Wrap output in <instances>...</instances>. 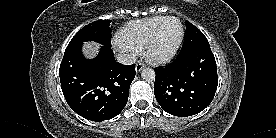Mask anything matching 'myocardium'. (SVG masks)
I'll use <instances>...</instances> for the list:
<instances>
[{
	"instance_id": "obj_1",
	"label": "myocardium",
	"mask_w": 276,
	"mask_h": 138,
	"mask_svg": "<svg viewBox=\"0 0 276 138\" xmlns=\"http://www.w3.org/2000/svg\"><path fill=\"white\" fill-rule=\"evenodd\" d=\"M170 20H175L176 22H178V24L180 26L179 38L171 51H169L166 54H161V55L155 54L154 47L157 42L159 33H160L162 27L165 25V23ZM184 37H185V30H184V26H183L182 22L180 21V19H178L177 17H174V16H168V17L164 18L155 27V29L153 30L145 48H144V56H145L146 60L152 64H164V63L171 61L176 56L178 51L180 50V48L183 44V41H184Z\"/></svg>"
}]
</instances>
